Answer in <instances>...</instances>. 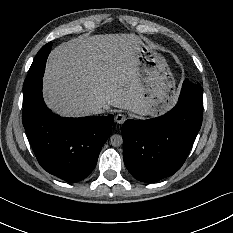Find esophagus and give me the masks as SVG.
Wrapping results in <instances>:
<instances>
[{"mask_svg": "<svg viewBox=\"0 0 233 233\" xmlns=\"http://www.w3.org/2000/svg\"><path fill=\"white\" fill-rule=\"evenodd\" d=\"M125 120H126V115H124V114H118V115H116V117H115V121H116L118 124H123Z\"/></svg>", "mask_w": 233, "mask_h": 233, "instance_id": "obj_1", "label": "esophagus"}]
</instances>
